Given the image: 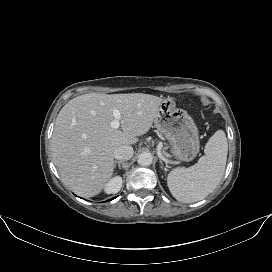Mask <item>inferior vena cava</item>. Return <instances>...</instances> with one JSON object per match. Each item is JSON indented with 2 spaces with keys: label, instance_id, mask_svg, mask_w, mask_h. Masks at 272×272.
Segmentation results:
<instances>
[{
  "label": "inferior vena cava",
  "instance_id": "1",
  "mask_svg": "<svg viewBox=\"0 0 272 272\" xmlns=\"http://www.w3.org/2000/svg\"><path fill=\"white\" fill-rule=\"evenodd\" d=\"M133 154L134 151L130 145H121L114 150V158L117 160H129Z\"/></svg>",
  "mask_w": 272,
  "mask_h": 272
}]
</instances>
